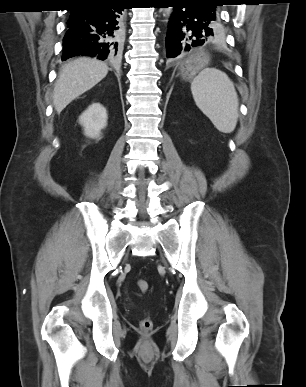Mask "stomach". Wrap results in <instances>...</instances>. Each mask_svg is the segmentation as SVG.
<instances>
[{"mask_svg":"<svg viewBox=\"0 0 306 387\" xmlns=\"http://www.w3.org/2000/svg\"><path fill=\"white\" fill-rule=\"evenodd\" d=\"M205 61L206 57L201 55L194 60L186 62V64L180 68L182 78L185 80L192 79L198 70L204 65Z\"/></svg>","mask_w":306,"mask_h":387,"instance_id":"1","label":"stomach"}]
</instances>
